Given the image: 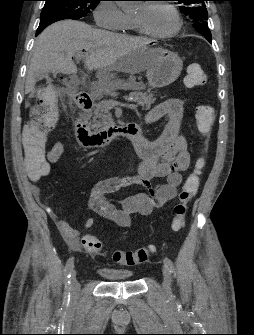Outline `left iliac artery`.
<instances>
[{
    "label": "left iliac artery",
    "instance_id": "44dca946",
    "mask_svg": "<svg viewBox=\"0 0 254 335\" xmlns=\"http://www.w3.org/2000/svg\"><path fill=\"white\" fill-rule=\"evenodd\" d=\"M164 264L170 270L171 273L174 272V265L171 259H169L168 257H165Z\"/></svg>",
    "mask_w": 254,
    "mask_h": 335
}]
</instances>
